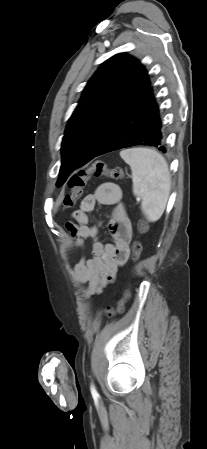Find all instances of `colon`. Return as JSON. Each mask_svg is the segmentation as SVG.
Masks as SVG:
<instances>
[{
  "label": "colon",
  "mask_w": 207,
  "mask_h": 449,
  "mask_svg": "<svg viewBox=\"0 0 207 449\" xmlns=\"http://www.w3.org/2000/svg\"><path fill=\"white\" fill-rule=\"evenodd\" d=\"M107 177L116 181L124 180V172L121 168H110L104 161H95L85 169L73 174L69 181L68 187L70 191L63 196L62 205L64 208H72L83 193V189L86 186L90 178ZM146 226L141 225V230L144 231ZM142 253V244L136 240L132 244V260L137 262ZM130 298V289L125 290L123 297L119 300L117 307H106L103 314L108 317H113L120 314L124 310L126 302Z\"/></svg>",
  "instance_id": "colon-1"
}]
</instances>
